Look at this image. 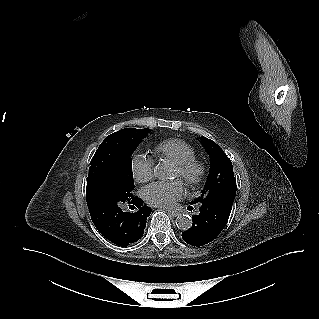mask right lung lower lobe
<instances>
[{
  "label": "right lung lower lobe",
  "mask_w": 319,
  "mask_h": 319,
  "mask_svg": "<svg viewBox=\"0 0 319 319\" xmlns=\"http://www.w3.org/2000/svg\"><path fill=\"white\" fill-rule=\"evenodd\" d=\"M87 206L97 230L112 243L125 247L137 242L146 226L151 208L135 195H123L108 188L87 191ZM128 204L137 212H123L121 207Z\"/></svg>",
  "instance_id": "right-lung-lower-lobe-1"
}]
</instances>
